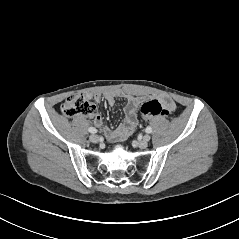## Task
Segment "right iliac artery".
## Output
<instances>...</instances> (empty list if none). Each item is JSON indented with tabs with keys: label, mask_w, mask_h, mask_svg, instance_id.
<instances>
[{
	"label": "right iliac artery",
	"mask_w": 239,
	"mask_h": 239,
	"mask_svg": "<svg viewBox=\"0 0 239 239\" xmlns=\"http://www.w3.org/2000/svg\"><path fill=\"white\" fill-rule=\"evenodd\" d=\"M88 130L90 133H93V134L97 132V129L94 127H90Z\"/></svg>",
	"instance_id": "82829eb1"
}]
</instances>
